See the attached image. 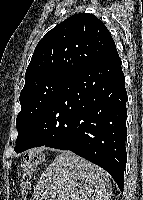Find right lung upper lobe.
<instances>
[{"label": "right lung upper lobe", "mask_w": 143, "mask_h": 200, "mask_svg": "<svg viewBox=\"0 0 143 200\" xmlns=\"http://www.w3.org/2000/svg\"><path fill=\"white\" fill-rule=\"evenodd\" d=\"M116 50L101 20L88 13L64 20L37 44L25 74V85L53 74L72 76Z\"/></svg>", "instance_id": "cb5924a9"}]
</instances>
